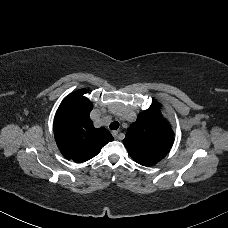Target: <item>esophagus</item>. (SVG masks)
Instances as JSON below:
<instances>
[{
  "mask_svg": "<svg viewBox=\"0 0 228 228\" xmlns=\"http://www.w3.org/2000/svg\"><path fill=\"white\" fill-rule=\"evenodd\" d=\"M112 135H113V137H114L115 139H120L121 133H120V132H117V131H113V132H112Z\"/></svg>",
  "mask_w": 228,
  "mask_h": 228,
  "instance_id": "obj_1",
  "label": "esophagus"
}]
</instances>
